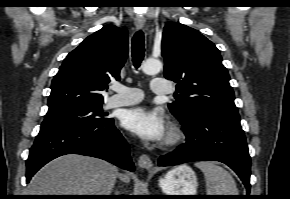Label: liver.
Here are the masks:
<instances>
[{"label":"liver","instance_id":"liver-1","mask_svg":"<svg viewBox=\"0 0 290 199\" xmlns=\"http://www.w3.org/2000/svg\"><path fill=\"white\" fill-rule=\"evenodd\" d=\"M117 167L93 157L69 154L46 164L31 179L30 195H111ZM121 180L130 182L128 174Z\"/></svg>","mask_w":290,"mask_h":199}]
</instances>
